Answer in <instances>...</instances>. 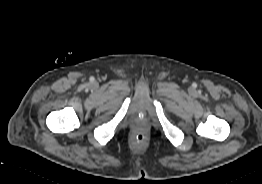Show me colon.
<instances>
[{
    "label": "colon",
    "instance_id": "5ec220e1",
    "mask_svg": "<svg viewBox=\"0 0 262 184\" xmlns=\"http://www.w3.org/2000/svg\"><path fill=\"white\" fill-rule=\"evenodd\" d=\"M135 139L137 141H140V142H143L145 140V135L142 133V132H138L136 135H135Z\"/></svg>",
    "mask_w": 262,
    "mask_h": 184
}]
</instances>
